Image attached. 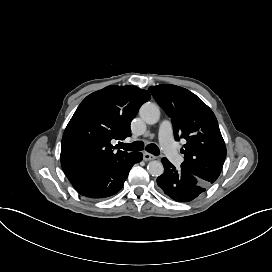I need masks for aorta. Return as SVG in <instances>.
<instances>
[{
	"label": "aorta",
	"mask_w": 272,
	"mask_h": 272,
	"mask_svg": "<svg viewBox=\"0 0 272 272\" xmlns=\"http://www.w3.org/2000/svg\"><path fill=\"white\" fill-rule=\"evenodd\" d=\"M140 116L148 125H155L160 119L158 105L147 102L140 108ZM147 170L152 176H160L164 172L163 164L160 161L152 160L147 165Z\"/></svg>",
	"instance_id": "obj_1"
}]
</instances>
